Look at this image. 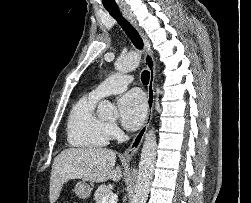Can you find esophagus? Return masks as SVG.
Segmentation results:
<instances>
[{
  "instance_id": "1",
  "label": "esophagus",
  "mask_w": 251,
  "mask_h": 203,
  "mask_svg": "<svg viewBox=\"0 0 251 203\" xmlns=\"http://www.w3.org/2000/svg\"><path fill=\"white\" fill-rule=\"evenodd\" d=\"M122 13L124 17L131 22V24L140 32L141 37L143 39L146 52L144 56V65L148 69L150 73V79H149V84H148V89H147V107H148V113H147V118L142 126V128L139 130V132L135 135L133 138L130 146L126 149V151L123 154L124 158H132L136 152L138 151L144 136L147 132V129L149 127L151 118H152V113L154 109V98H155V91H154V86H155V78H156V65L155 61L153 58V50L151 43L148 39V37L144 34L142 29L139 27L135 17L133 14L128 10V9H122Z\"/></svg>"
}]
</instances>
